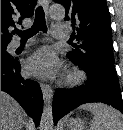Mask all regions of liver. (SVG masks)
Instances as JSON below:
<instances>
[{
    "instance_id": "1",
    "label": "liver",
    "mask_w": 123,
    "mask_h": 130,
    "mask_svg": "<svg viewBox=\"0 0 123 130\" xmlns=\"http://www.w3.org/2000/svg\"><path fill=\"white\" fill-rule=\"evenodd\" d=\"M26 120L22 107L1 91V130H21Z\"/></svg>"
}]
</instances>
